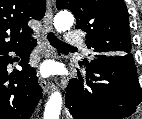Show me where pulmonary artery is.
<instances>
[{"mask_svg":"<svg viewBox=\"0 0 142 119\" xmlns=\"http://www.w3.org/2000/svg\"><path fill=\"white\" fill-rule=\"evenodd\" d=\"M65 42L68 45H83V39L80 35V33L76 31H70L67 33V36L65 38Z\"/></svg>","mask_w":142,"mask_h":119,"instance_id":"pulmonary-artery-1","label":"pulmonary artery"}]
</instances>
